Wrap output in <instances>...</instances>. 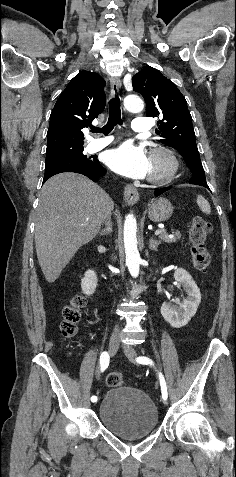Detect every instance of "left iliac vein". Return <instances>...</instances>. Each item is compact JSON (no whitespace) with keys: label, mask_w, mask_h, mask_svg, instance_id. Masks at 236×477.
Returning a JSON list of instances; mask_svg holds the SVG:
<instances>
[{"label":"left iliac vein","mask_w":236,"mask_h":477,"mask_svg":"<svg viewBox=\"0 0 236 477\" xmlns=\"http://www.w3.org/2000/svg\"><path fill=\"white\" fill-rule=\"evenodd\" d=\"M123 350L126 356L129 358L130 361L135 362V358L137 356L135 349L130 345H123ZM163 407H168L167 399H163Z\"/></svg>","instance_id":"1"}]
</instances>
